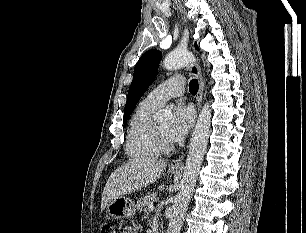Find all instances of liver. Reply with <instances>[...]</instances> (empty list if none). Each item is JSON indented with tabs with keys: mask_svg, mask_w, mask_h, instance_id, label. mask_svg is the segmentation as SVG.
Segmentation results:
<instances>
[{
	"mask_svg": "<svg viewBox=\"0 0 306 233\" xmlns=\"http://www.w3.org/2000/svg\"><path fill=\"white\" fill-rule=\"evenodd\" d=\"M166 166V162L161 160L136 159L115 169L104 187L101 211L114 199L154 183Z\"/></svg>",
	"mask_w": 306,
	"mask_h": 233,
	"instance_id": "1",
	"label": "liver"
}]
</instances>
